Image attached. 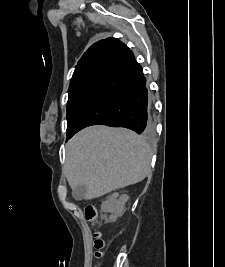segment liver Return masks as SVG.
Returning <instances> with one entry per match:
<instances>
[{
  "label": "liver",
  "mask_w": 225,
  "mask_h": 267,
  "mask_svg": "<svg viewBox=\"0 0 225 267\" xmlns=\"http://www.w3.org/2000/svg\"><path fill=\"white\" fill-rule=\"evenodd\" d=\"M152 151L143 137L125 128L95 125L66 145L65 172L73 189L84 185L85 200L141 182L150 171Z\"/></svg>",
  "instance_id": "6515ba94"
}]
</instances>
